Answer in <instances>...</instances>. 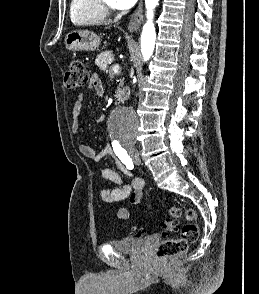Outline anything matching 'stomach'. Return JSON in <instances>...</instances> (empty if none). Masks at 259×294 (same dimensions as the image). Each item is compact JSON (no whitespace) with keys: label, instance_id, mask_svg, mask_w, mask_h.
Returning <instances> with one entry per match:
<instances>
[{"label":"stomach","instance_id":"obj_1","mask_svg":"<svg viewBox=\"0 0 259 294\" xmlns=\"http://www.w3.org/2000/svg\"><path fill=\"white\" fill-rule=\"evenodd\" d=\"M101 39L87 30L72 31L65 37L66 48L71 51H94L100 46Z\"/></svg>","mask_w":259,"mask_h":294}]
</instances>
